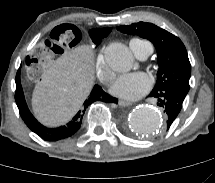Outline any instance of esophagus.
<instances>
[{
  "label": "esophagus",
  "instance_id": "esophagus-1",
  "mask_svg": "<svg viewBox=\"0 0 215 183\" xmlns=\"http://www.w3.org/2000/svg\"><path fill=\"white\" fill-rule=\"evenodd\" d=\"M133 103L132 102H129V101H125V100H119V105L122 106V107H127V106H130L132 105Z\"/></svg>",
  "mask_w": 215,
  "mask_h": 183
}]
</instances>
